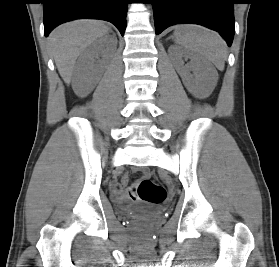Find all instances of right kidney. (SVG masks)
Instances as JSON below:
<instances>
[{
    "instance_id": "right-kidney-1",
    "label": "right kidney",
    "mask_w": 279,
    "mask_h": 267,
    "mask_svg": "<svg viewBox=\"0 0 279 267\" xmlns=\"http://www.w3.org/2000/svg\"><path fill=\"white\" fill-rule=\"evenodd\" d=\"M112 42L117 44V39L113 36ZM108 42L102 39L89 46L83 53L76 72V88L75 92L81 96H86L91 91V75L98 72V66L95 65V59L98 58L100 49L107 45Z\"/></svg>"
}]
</instances>
